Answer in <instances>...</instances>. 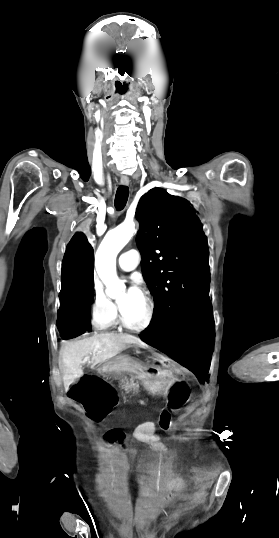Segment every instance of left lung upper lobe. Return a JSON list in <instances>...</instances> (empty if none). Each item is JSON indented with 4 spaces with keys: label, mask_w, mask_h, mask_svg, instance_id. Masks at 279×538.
<instances>
[{
    "label": "left lung upper lobe",
    "mask_w": 279,
    "mask_h": 538,
    "mask_svg": "<svg viewBox=\"0 0 279 538\" xmlns=\"http://www.w3.org/2000/svg\"><path fill=\"white\" fill-rule=\"evenodd\" d=\"M136 219L142 272L155 302L145 331L158 334L169 329L193 303L209 296L207 238L189 202L161 188L141 197Z\"/></svg>",
    "instance_id": "5c2ea615"
}]
</instances>
